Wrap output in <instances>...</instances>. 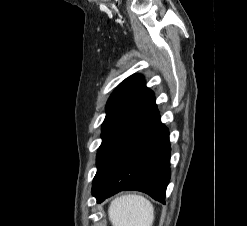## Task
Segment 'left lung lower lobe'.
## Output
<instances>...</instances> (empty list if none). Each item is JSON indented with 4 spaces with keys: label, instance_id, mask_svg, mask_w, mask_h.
<instances>
[{
    "label": "left lung lower lobe",
    "instance_id": "obj_1",
    "mask_svg": "<svg viewBox=\"0 0 247 226\" xmlns=\"http://www.w3.org/2000/svg\"><path fill=\"white\" fill-rule=\"evenodd\" d=\"M168 129L142 81L102 131L92 192L97 202L139 190L164 203L170 180Z\"/></svg>",
    "mask_w": 247,
    "mask_h": 226
}]
</instances>
